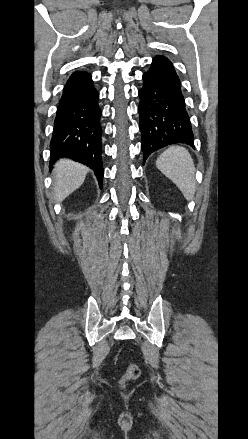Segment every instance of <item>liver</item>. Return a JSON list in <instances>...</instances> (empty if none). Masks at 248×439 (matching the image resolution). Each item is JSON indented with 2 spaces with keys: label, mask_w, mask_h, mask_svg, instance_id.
Masks as SVG:
<instances>
[{
  "label": "liver",
  "mask_w": 248,
  "mask_h": 439,
  "mask_svg": "<svg viewBox=\"0 0 248 439\" xmlns=\"http://www.w3.org/2000/svg\"><path fill=\"white\" fill-rule=\"evenodd\" d=\"M88 168L82 164L67 159H61L55 165L54 198L56 202L63 201L84 182Z\"/></svg>",
  "instance_id": "obj_1"
}]
</instances>
